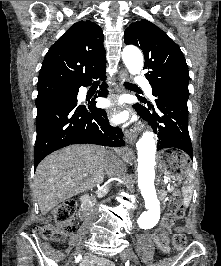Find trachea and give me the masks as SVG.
<instances>
[{"label":"trachea","instance_id":"1","mask_svg":"<svg viewBox=\"0 0 221 266\" xmlns=\"http://www.w3.org/2000/svg\"><path fill=\"white\" fill-rule=\"evenodd\" d=\"M94 84H99V81H94ZM125 87H131V86H136L135 84L129 83V82H124Z\"/></svg>","mask_w":221,"mask_h":266}]
</instances>
